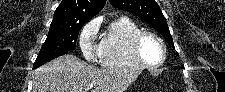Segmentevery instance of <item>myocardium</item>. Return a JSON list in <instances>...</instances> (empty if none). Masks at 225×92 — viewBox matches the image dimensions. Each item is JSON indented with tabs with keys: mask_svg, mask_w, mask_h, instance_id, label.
<instances>
[{
	"mask_svg": "<svg viewBox=\"0 0 225 92\" xmlns=\"http://www.w3.org/2000/svg\"><path fill=\"white\" fill-rule=\"evenodd\" d=\"M146 37H151V38L155 39L161 46L162 58L156 64L148 63L147 61H145V59L143 58V56L141 54V49H140L141 43ZM130 47H131V52H132L134 58L136 59L137 63L140 66L146 67L148 69H157L160 66H162L166 60V54H167L166 45H165L164 41L162 40V38L154 32L143 31V30L138 32L137 34H135L133 36Z\"/></svg>",
	"mask_w": 225,
	"mask_h": 92,
	"instance_id": "obj_1",
	"label": "myocardium"
}]
</instances>
